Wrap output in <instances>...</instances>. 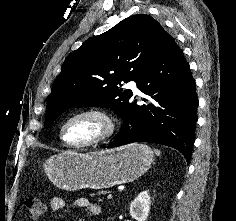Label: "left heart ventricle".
I'll return each mask as SVG.
<instances>
[{
  "mask_svg": "<svg viewBox=\"0 0 236 221\" xmlns=\"http://www.w3.org/2000/svg\"><path fill=\"white\" fill-rule=\"evenodd\" d=\"M106 130L105 122L93 115L79 117L70 122L65 129V138L71 144L87 143Z\"/></svg>",
  "mask_w": 236,
  "mask_h": 221,
  "instance_id": "left-heart-ventricle-1",
  "label": "left heart ventricle"
}]
</instances>
